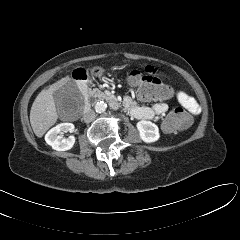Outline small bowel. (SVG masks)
Wrapping results in <instances>:
<instances>
[{
  "instance_id": "1",
  "label": "small bowel",
  "mask_w": 240,
  "mask_h": 240,
  "mask_svg": "<svg viewBox=\"0 0 240 240\" xmlns=\"http://www.w3.org/2000/svg\"><path fill=\"white\" fill-rule=\"evenodd\" d=\"M145 70L150 74L159 72L158 69L153 66H147ZM175 98L177 99L178 103L190 113L198 114L200 112V106L197 101L186 92L181 90L176 91ZM123 104L133 117L142 120L156 119L168 111V104L165 102H157L151 106H145L136 103L130 97H125Z\"/></svg>"
}]
</instances>
